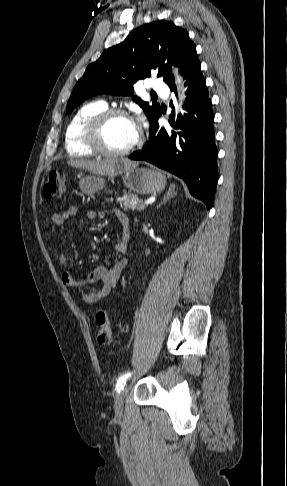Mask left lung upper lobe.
Returning <instances> with one entry per match:
<instances>
[{
	"label": "left lung upper lobe",
	"instance_id": "1",
	"mask_svg": "<svg viewBox=\"0 0 287 486\" xmlns=\"http://www.w3.org/2000/svg\"><path fill=\"white\" fill-rule=\"evenodd\" d=\"M196 57L188 33L173 22L158 20L142 25L87 67L74 87L67 113L96 94L131 95L133 84L149 77L152 69H157V76L169 84L174 81L170 66H178L182 73ZM165 60L170 63L164 65ZM133 100L143 108L150 124L159 116L158 103L149 105L135 96Z\"/></svg>",
	"mask_w": 287,
	"mask_h": 486
}]
</instances>
